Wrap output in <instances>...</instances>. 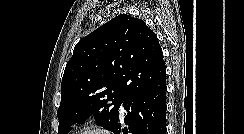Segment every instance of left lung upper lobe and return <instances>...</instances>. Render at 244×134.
I'll list each match as a JSON object with an SVG mask.
<instances>
[{"mask_svg":"<svg viewBox=\"0 0 244 134\" xmlns=\"http://www.w3.org/2000/svg\"><path fill=\"white\" fill-rule=\"evenodd\" d=\"M165 84L156 34L142 20L119 15L76 44L62 79L58 134L90 116L109 130L128 96Z\"/></svg>","mask_w":244,"mask_h":134,"instance_id":"obj_1","label":"left lung upper lobe"}]
</instances>
